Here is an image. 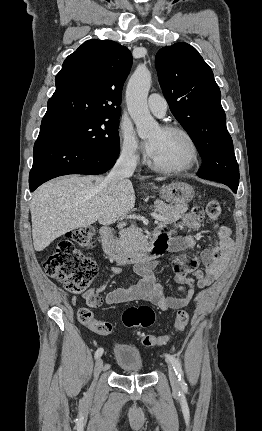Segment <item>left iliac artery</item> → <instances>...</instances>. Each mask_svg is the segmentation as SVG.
I'll return each mask as SVG.
<instances>
[{"instance_id": "1", "label": "left iliac artery", "mask_w": 262, "mask_h": 431, "mask_svg": "<svg viewBox=\"0 0 262 431\" xmlns=\"http://www.w3.org/2000/svg\"><path fill=\"white\" fill-rule=\"evenodd\" d=\"M165 356L169 360V362L172 364V366H173V368H174V370H175V372H176V374H177V376L179 378L181 386L183 388H185L186 387V383L184 382L183 371H182V367H181L180 361L177 358H175L174 356H172V355L166 354Z\"/></svg>"}]
</instances>
